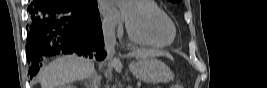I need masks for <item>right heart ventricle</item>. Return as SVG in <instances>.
<instances>
[{
  "instance_id": "right-heart-ventricle-1",
  "label": "right heart ventricle",
  "mask_w": 267,
  "mask_h": 88,
  "mask_svg": "<svg viewBox=\"0 0 267 88\" xmlns=\"http://www.w3.org/2000/svg\"><path fill=\"white\" fill-rule=\"evenodd\" d=\"M143 4H145L146 6H148L150 9H154V10H159L161 11L165 16L168 17V15L157 5V3L153 0H137ZM133 41L137 42V43H144V44H149V43H145L141 40H138V39H135V38H132ZM152 45V44H150Z\"/></svg>"
}]
</instances>
